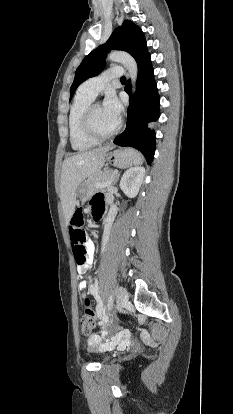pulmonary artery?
Returning a JSON list of instances; mask_svg holds the SVG:
<instances>
[{
  "instance_id": "e3ab8cb5",
  "label": "pulmonary artery",
  "mask_w": 233,
  "mask_h": 414,
  "mask_svg": "<svg viewBox=\"0 0 233 414\" xmlns=\"http://www.w3.org/2000/svg\"><path fill=\"white\" fill-rule=\"evenodd\" d=\"M123 73L124 71L121 67H111L103 71L101 74L86 80L80 86V90L95 98L98 95V93L106 87L109 81L121 78L123 76Z\"/></svg>"
}]
</instances>
